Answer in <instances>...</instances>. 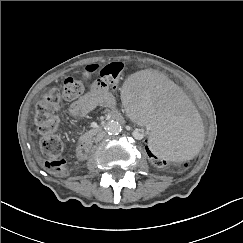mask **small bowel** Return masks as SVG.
<instances>
[{"label": "small bowel", "mask_w": 243, "mask_h": 243, "mask_svg": "<svg viewBox=\"0 0 243 243\" xmlns=\"http://www.w3.org/2000/svg\"><path fill=\"white\" fill-rule=\"evenodd\" d=\"M114 96L106 85L94 84L82 97L70 105V112L74 116L84 117L98 106L112 107Z\"/></svg>", "instance_id": "1"}]
</instances>
